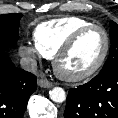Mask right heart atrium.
<instances>
[{
	"label": "right heart atrium",
	"instance_id": "1",
	"mask_svg": "<svg viewBox=\"0 0 118 118\" xmlns=\"http://www.w3.org/2000/svg\"><path fill=\"white\" fill-rule=\"evenodd\" d=\"M19 50L21 55L32 63H35L44 58V55L38 50L35 44H31L29 42L22 43Z\"/></svg>",
	"mask_w": 118,
	"mask_h": 118
}]
</instances>
